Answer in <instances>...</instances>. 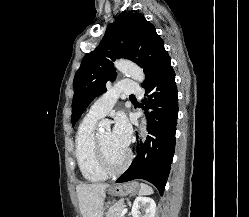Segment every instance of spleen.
Segmentation results:
<instances>
[{
	"instance_id": "spleen-1",
	"label": "spleen",
	"mask_w": 249,
	"mask_h": 217,
	"mask_svg": "<svg viewBox=\"0 0 249 217\" xmlns=\"http://www.w3.org/2000/svg\"><path fill=\"white\" fill-rule=\"evenodd\" d=\"M152 193H153V189L150 186L144 183L140 184V190H139L140 195H149Z\"/></svg>"
}]
</instances>
